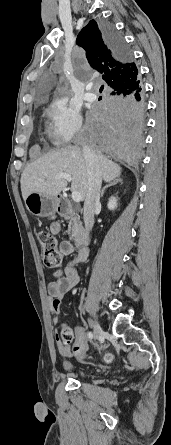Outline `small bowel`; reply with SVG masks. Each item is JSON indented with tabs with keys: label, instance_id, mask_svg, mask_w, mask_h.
Returning a JSON list of instances; mask_svg holds the SVG:
<instances>
[{
	"label": "small bowel",
	"instance_id": "small-bowel-1",
	"mask_svg": "<svg viewBox=\"0 0 171 445\" xmlns=\"http://www.w3.org/2000/svg\"><path fill=\"white\" fill-rule=\"evenodd\" d=\"M61 231V226L58 223H53L50 226V232L53 235H58ZM75 252V247L70 241H62L60 244V253L63 255H70ZM88 257V251L81 248L77 251V255L72 260H69L64 267V275L48 284L49 291V305L53 313L52 322L58 324L59 315L62 312L61 300L62 298L79 283V274L77 265L82 264ZM75 344L86 348L87 336L84 329L80 326L75 328ZM59 353L64 357H72L74 352L70 346L57 342Z\"/></svg>",
	"mask_w": 171,
	"mask_h": 445
}]
</instances>
